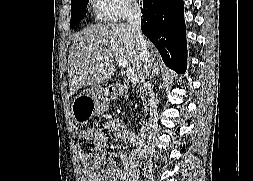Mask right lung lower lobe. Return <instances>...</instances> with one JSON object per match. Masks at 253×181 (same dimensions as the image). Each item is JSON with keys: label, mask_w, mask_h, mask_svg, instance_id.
<instances>
[{"label": "right lung lower lobe", "mask_w": 253, "mask_h": 181, "mask_svg": "<svg viewBox=\"0 0 253 181\" xmlns=\"http://www.w3.org/2000/svg\"><path fill=\"white\" fill-rule=\"evenodd\" d=\"M183 0H143L142 32L160 52L164 63L178 72L186 69Z\"/></svg>", "instance_id": "obj_1"}]
</instances>
